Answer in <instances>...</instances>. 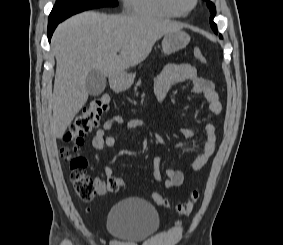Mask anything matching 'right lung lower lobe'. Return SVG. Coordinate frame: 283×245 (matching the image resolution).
<instances>
[{"mask_svg": "<svg viewBox=\"0 0 283 245\" xmlns=\"http://www.w3.org/2000/svg\"><path fill=\"white\" fill-rule=\"evenodd\" d=\"M59 23H60L59 21H57V22H52V23H48V40H49V41L51 40L52 34H53L55 28L57 27V25H58Z\"/></svg>", "mask_w": 283, "mask_h": 245, "instance_id": "98d812e1", "label": "right lung lower lobe"}]
</instances>
